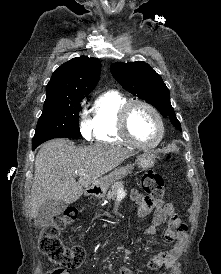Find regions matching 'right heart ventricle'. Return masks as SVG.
Returning a JSON list of instances; mask_svg holds the SVG:
<instances>
[{"instance_id": "obj_1", "label": "right heart ventricle", "mask_w": 221, "mask_h": 274, "mask_svg": "<svg viewBox=\"0 0 221 274\" xmlns=\"http://www.w3.org/2000/svg\"><path fill=\"white\" fill-rule=\"evenodd\" d=\"M128 98L116 90L100 94L93 105L92 134L96 141L115 145L129 144L119 131V112Z\"/></svg>"}]
</instances>
